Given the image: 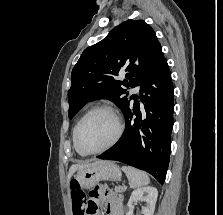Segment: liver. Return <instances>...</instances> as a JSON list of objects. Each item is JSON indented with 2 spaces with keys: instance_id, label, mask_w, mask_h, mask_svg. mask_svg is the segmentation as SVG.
<instances>
[{
  "instance_id": "6515ba94",
  "label": "liver",
  "mask_w": 223,
  "mask_h": 215,
  "mask_svg": "<svg viewBox=\"0 0 223 215\" xmlns=\"http://www.w3.org/2000/svg\"><path fill=\"white\" fill-rule=\"evenodd\" d=\"M100 159H97V161H94V163H88V161H84V163H73V165H71L70 169H69V173H68V185L70 183V179L73 175V173H75V171H79V169H85V167H90V165H96V163H99Z\"/></svg>"
}]
</instances>
